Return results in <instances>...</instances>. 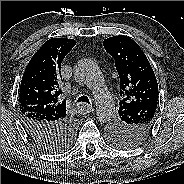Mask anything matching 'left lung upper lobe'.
I'll return each mask as SVG.
<instances>
[{
  "instance_id": "1",
  "label": "left lung upper lobe",
  "mask_w": 184,
  "mask_h": 184,
  "mask_svg": "<svg viewBox=\"0 0 184 184\" xmlns=\"http://www.w3.org/2000/svg\"><path fill=\"white\" fill-rule=\"evenodd\" d=\"M104 48L115 60L120 95L124 97L119 103V116L108 128V137L118 148H133L146 138L154 124L157 80L146 55L131 38H107Z\"/></svg>"
}]
</instances>
